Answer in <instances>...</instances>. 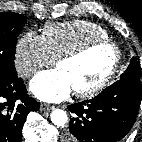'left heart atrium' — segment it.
Masks as SVG:
<instances>
[{"label":"left heart atrium","instance_id":"obj_1","mask_svg":"<svg viewBox=\"0 0 142 142\" xmlns=\"http://www.w3.org/2000/svg\"><path fill=\"white\" fill-rule=\"evenodd\" d=\"M32 93L42 101L59 102L73 91L68 77L60 69L43 71L30 82Z\"/></svg>","mask_w":142,"mask_h":142}]
</instances>
